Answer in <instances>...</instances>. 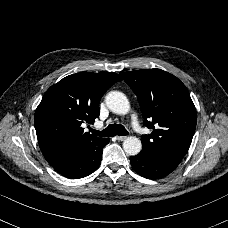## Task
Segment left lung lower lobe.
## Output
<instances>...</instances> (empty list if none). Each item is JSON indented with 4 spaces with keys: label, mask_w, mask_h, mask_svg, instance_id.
Wrapping results in <instances>:
<instances>
[{
    "label": "left lung lower lobe",
    "mask_w": 228,
    "mask_h": 228,
    "mask_svg": "<svg viewBox=\"0 0 228 228\" xmlns=\"http://www.w3.org/2000/svg\"><path fill=\"white\" fill-rule=\"evenodd\" d=\"M133 169L148 179H159L170 174L180 163L177 160L154 158L143 152L130 157Z\"/></svg>",
    "instance_id": "0a47b994"
}]
</instances>
